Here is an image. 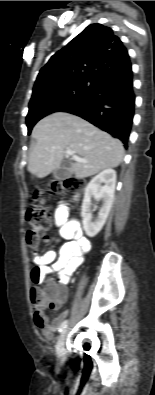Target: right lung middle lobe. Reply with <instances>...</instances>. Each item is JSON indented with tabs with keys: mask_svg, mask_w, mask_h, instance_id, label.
Returning a JSON list of instances; mask_svg holds the SVG:
<instances>
[{
	"mask_svg": "<svg viewBox=\"0 0 155 395\" xmlns=\"http://www.w3.org/2000/svg\"><path fill=\"white\" fill-rule=\"evenodd\" d=\"M99 84L97 80L78 79L55 84L33 94L26 117L28 134L40 119L75 104L94 92Z\"/></svg>",
	"mask_w": 155,
	"mask_h": 395,
	"instance_id": "right-lung-middle-lobe-1",
	"label": "right lung middle lobe"
}]
</instances>
